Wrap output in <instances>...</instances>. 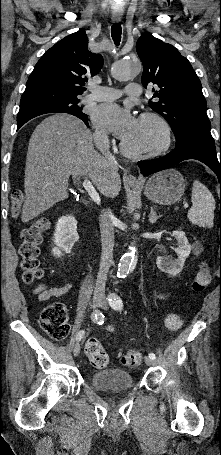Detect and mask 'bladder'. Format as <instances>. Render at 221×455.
<instances>
[{"label": "bladder", "mask_w": 221, "mask_h": 455, "mask_svg": "<svg viewBox=\"0 0 221 455\" xmlns=\"http://www.w3.org/2000/svg\"><path fill=\"white\" fill-rule=\"evenodd\" d=\"M89 384L102 392L124 391L134 386L131 374L118 368L92 372L89 375Z\"/></svg>", "instance_id": "1"}]
</instances>
